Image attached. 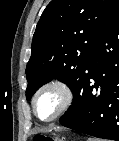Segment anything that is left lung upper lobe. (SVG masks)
Returning a JSON list of instances; mask_svg holds the SVG:
<instances>
[{
  "label": "left lung upper lobe",
  "mask_w": 119,
  "mask_h": 141,
  "mask_svg": "<svg viewBox=\"0 0 119 141\" xmlns=\"http://www.w3.org/2000/svg\"><path fill=\"white\" fill-rule=\"evenodd\" d=\"M119 11V0H52L36 26L26 67V98L57 78L73 94L86 74L100 34Z\"/></svg>",
  "instance_id": "obj_1"
}]
</instances>
